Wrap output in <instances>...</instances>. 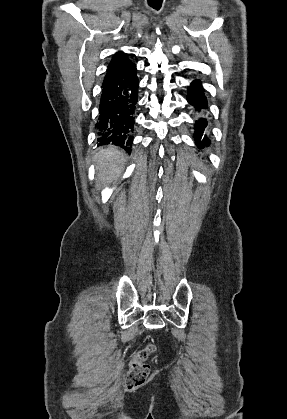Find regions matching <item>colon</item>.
I'll use <instances>...</instances> for the list:
<instances>
[{
  "label": "colon",
  "mask_w": 287,
  "mask_h": 419,
  "mask_svg": "<svg viewBox=\"0 0 287 419\" xmlns=\"http://www.w3.org/2000/svg\"><path fill=\"white\" fill-rule=\"evenodd\" d=\"M155 347L152 345L140 350L132 359L130 368L126 377V385L130 389L140 387L146 381L149 373L150 366L147 361L154 353Z\"/></svg>",
  "instance_id": "5ec220e1"
}]
</instances>
